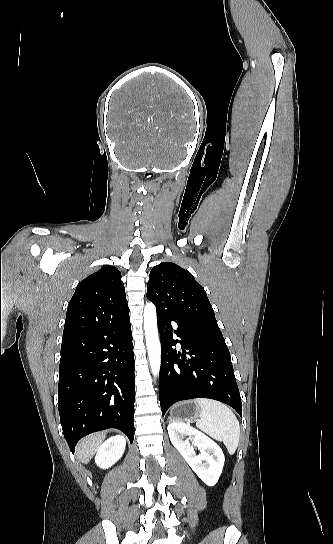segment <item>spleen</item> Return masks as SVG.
<instances>
[{"label": "spleen", "mask_w": 333, "mask_h": 544, "mask_svg": "<svg viewBox=\"0 0 333 544\" xmlns=\"http://www.w3.org/2000/svg\"><path fill=\"white\" fill-rule=\"evenodd\" d=\"M194 403L199 408L196 426L222 441L228 452L234 454L240 439V425L232 410L219 401L206 398H197Z\"/></svg>", "instance_id": "obj_1"}]
</instances>
